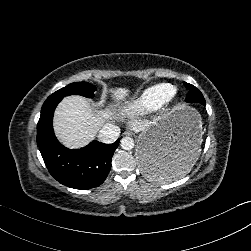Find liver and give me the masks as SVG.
<instances>
[{
    "label": "liver",
    "instance_id": "obj_1",
    "mask_svg": "<svg viewBox=\"0 0 251 251\" xmlns=\"http://www.w3.org/2000/svg\"><path fill=\"white\" fill-rule=\"evenodd\" d=\"M110 102L102 109H92L88 99L81 95L64 97L53 113V132L58 142L69 150H80L89 145L96 134L108 123L123 122L127 129L139 132L150 120L127 111L125 104L132 89L127 86H112L107 89Z\"/></svg>",
    "mask_w": 251,
    "mask_h": 251
}]
</instances>
